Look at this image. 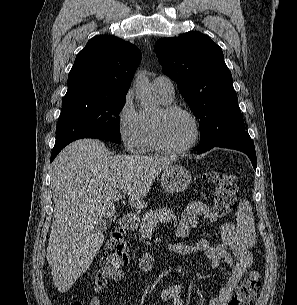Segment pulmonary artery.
<instances>
[{"mask_svg":"<svg viewBox=\"0 0 297 305\" xmlns=\"http://www.w3.org/2000/svg\"><path fill=\"white\" fill-rule=\"evenodd\" d=\"M153 90L168 100H173L175 88L171 79L167 76L160 75L152 81Z\"/></svg>","mask_w":297,"mask_h":305,"instance_id":"pulmonary-artery-1","label":"pulmonary artery"}]
</instances>
